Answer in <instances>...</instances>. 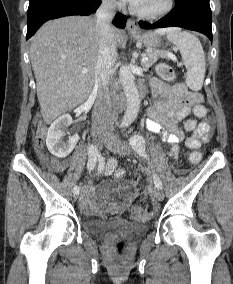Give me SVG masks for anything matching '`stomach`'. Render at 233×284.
<instances>
[{
    "instance_id": "obj_1",
    "label": "stomach",
    "mask_w": 233,
    "mask_h": 284,
    "mask_svg": "<svg viewBox=\"0 0 233 284\" xmlns=\"http://www.w3.org/2000/svg\"><path fill=\"white\" fill-rule=\"evenodd\" d=\"M131 36L144 45L145 47L152 49V50H160L162 43H161V36L154 31H141L139 33H132Z\"/></svg>"
}]
</instances>
